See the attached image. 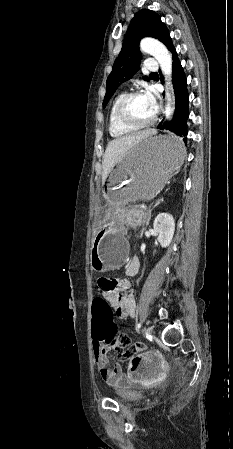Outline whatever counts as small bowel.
Instances as JSON below:
<instances>
[{
  "label": "small bowel",
  "mask_w": 233,
  "mask_h": 449,
  "mask_svg": "<svg viewBox=\"0 0 233 449\" xmlns=\"http://www.w3.org/2000/svg\"><path fill=\"white\" fill-rule=\"evenodd\" d=\"M139 270V261L132 258L126 265L125 274L133 277ZM98 286L102 288L105 301H108L121 318L134 317L136 315V301L127 279L118 278L117 274H101ZM93 312V309H92ZM113 325V323H111ZM93 336V334H92ZM113 349V348H112ZM112 349H93V359L100 375L108 385H117L126 380L121 365L108 367L107 354ZM161 354H146L143 360L144 368H137L136 375L131 376L132 384H144L146 389L151 387L153 377H160L167 370V365L162 362ZM146 377L147 381L146 382Z\"/></svg>",
  "instance_id": "1"
}]
</instances>
